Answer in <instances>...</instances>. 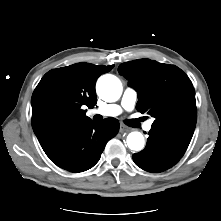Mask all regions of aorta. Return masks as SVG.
Returning a JSON list of instances; mask_svg holds the SVG:
<instances>
[{
	"mask_svg": "<svg viewBox=\"0 0 221 221\" xmlns=\"http://www.w3.org/2000/svg\"><path fill=\"white\" fill-rule=\"evenodd\" d=\"M97 93L106 102L117 101L122 94V83L114 75H102L97 81ZM127 145L131 150L140 151L144 148V137L142 133L134 131L127 136Z\"/></svg>",
	"mask_w": 221,
	"mask_h": 221,
	"instance_id": "1",
	"label": "aorta"
}]
</instances>
